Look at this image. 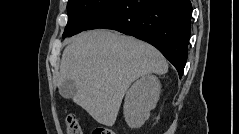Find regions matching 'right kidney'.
<instances>
[{"label": "right kidney", "instance_id": "ca27d5eb", "mask_svg": "<svg viewBox=\"0 0 239 134\" xmlns=\"http://www.w3.org/2000/svg\"><path fill=\"white\" fill-rule=\"evenodd\" d=\"M160 81L154 75H145L137 80L126 93L124 117L130 128H139L155 108L160 94Z\"/></svg>", "mask_w": 239, "mask_h": 134}]
</instances>
